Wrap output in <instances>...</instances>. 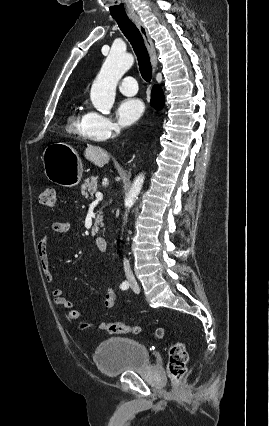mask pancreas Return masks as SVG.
<instances>
[{"label":"pancreas","instance_id":"cf45deb5","mask_svg":"<svg viewBox=\"0 0 269 426\" xmlns=\"http://www.w3.org/2000/svg\"><path fill=\"white\" fill-rule=\"evenodd\" d=\"M97 179L98 177H90L87 178L84 182V184H82L81 186V193L83 196H85L86 199H90L93 197V195L95 194V192L97 191ZM103 216H102V212H99V214L97 215V218L95 220V224H94V228L91 231L92 236H95L96 233H98L99 231V225H101V227H103Z\"/></svg>","mask_w":269,"mask_h":426}]
</instances>
